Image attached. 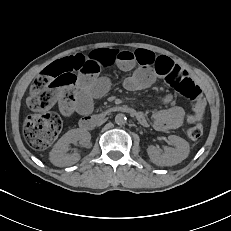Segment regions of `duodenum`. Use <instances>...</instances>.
I'll list each match as a JSON object with an SVG mask.
<instances>
[{
  "instance_id": "duodenum-1",
  "label": "duodenum",
  "mask_w": 231,
  "mask_h": 231,
  "mask_svg": "<svg viewBox=\"0 0 231 231\" xmlns=\"http://www.w3.org/2000/svg\"><path fill=\"white\" fill-rule=\"evenodd\" d=\"M110 112L111 113H115V112L126 113L136 119H139L142 117L141 112H138L137 110L129 106H126V105L116 106ZM106 116H108L106 113L87 115L80 120V123H79L80 129L83 131H90L94 129L95 126L100 122V120Z\"/></svg>"
}]
</instances>
